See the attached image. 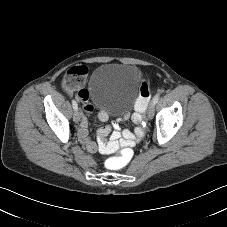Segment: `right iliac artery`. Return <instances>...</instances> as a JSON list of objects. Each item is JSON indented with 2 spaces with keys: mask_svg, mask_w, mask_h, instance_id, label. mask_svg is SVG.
Here are the masks:
<instances>
[{
  "mask_svg": "<svg viewBox=\"0 0 227 227\" xmlns=\"http://www.w3.org/2000/svg\"><path fill=\"white\" fill-rule=\"evenodd\" d=\"M72 105H73L74 111H77L78 105H77V102L75 100H72Z\"/></svg>",
  "mask_w": 227,
  "mask_h": 227,
  "instance_id": "1",
  "label": "right iliac artery"
}]
</instances>
